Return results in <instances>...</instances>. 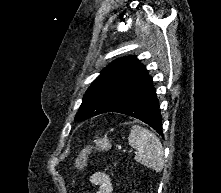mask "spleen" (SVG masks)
<instances>
[{"mask_svg": "<svg viewBox=\"0 0 221 193\" xmlns=\"http://www.w3.org/2000/svg\"><path fill=\"white\" fill-rule=\"evenodd\" d=\"M129 145L136 150L135 158L148 168L160 172L164 167V151L159 138L141 126H132Z\"/></svg>", "mask_w": 221, "mask_h": 193, "instance_id": "1", "label": "spleen"}]
</instances>
